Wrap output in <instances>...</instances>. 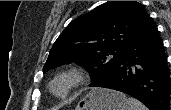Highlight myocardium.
I'll return each instance as SVG.
<instances>
[{"mask_svg":"<svg viewBox=\"0 0 171 110\" xmlns=\"http://www.w3.org/2000/svg\"><path fill=\"white\" fill-rule=\"evenodd\" d=\"M90 80L88 72L78 66H72L58 71L48 84L49 92L56 98L64 99L77 89L86 85ZM63 83L64 88L61 92L55 91V85Z\"/></svg>","mask_w":171,"mask_h":110,"instance_id":"obj_1","label":"myocardium"}]
</instances>
